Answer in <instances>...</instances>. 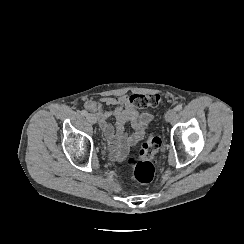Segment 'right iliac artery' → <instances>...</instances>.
I'll return each instance as SVG.
<instances>
[{"mask_svg":"<svg viewBox=\"0 0 244 244\" xmlns=\"http://www.w3.org/2000/svg\"><path fill=\"white\" fill-rule=\"evenodd\" d=\"M81 115L86 116L87 115V111L86 110H82L81 111Z\"/></svg>","mask_w":244,"mask_h":244,"instance_id":"1","label":"right iliac artery"}]
</instances>
